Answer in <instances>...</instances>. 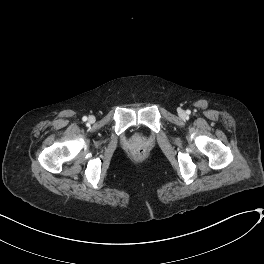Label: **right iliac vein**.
<instances>
[{
  "mask_svg": "<svg viewBox=\"0 0 264 264\" xmlns=\"http://www.w3.org/2000/svg\"><path fill=\"white\" fill-rule=\"evenodd\" d=\"M89 121H90V122H93V121H94V117H93V116H90V117H89Z\"/></svg>",
  "mask_w": 264,
  "mask_h": 264,
  "instance_id": "1",
  "label": "right iliac vein"
}]
</instances>
